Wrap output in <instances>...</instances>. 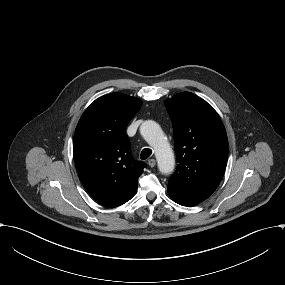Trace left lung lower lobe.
Masks as SVG:
<instances>
[{
	"mask_svg": "<svg viewBox=\"0 0 285 285\" xmlns=\"http://www.w3.org/2000/svg\"><path fill=\"white\" fill-rule=\"evenodd\" d=\"M168 193L170 195V197L172 198V200H174L176 203L183 205V206H188V207H192L197 205V202L191 201L189 199H185L180 197L179 195L175 194L174 192H171L168 190Z\"/></svg>",
	"mask_w": 285,
	"mask_h": 285,
	"instance_id": "0a47b994",
	"label": "left lung lower lobe"
}]
</instances>
